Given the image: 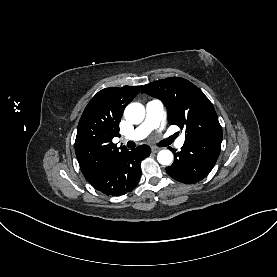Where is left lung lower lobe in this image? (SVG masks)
<instances>
[{
    "label": "left lung lower lobe",
    "mask_w": 277,
    "mask_h": 277,
    "mask_svg": "<svg viewBox=\"0 0 277 277\" xmlns=\"http://www.w3.org/2000/svg\"><path fill=\"white\" fill-rule=\"evenodd\" d=\"M222 136L204 137L185 141L181 151L175 153L174 163L166 168L175 180L193 184L204 179L214 167L220 154Z\"/></svg>",
    "instance_id": "obj_1"
}]
</instances>
